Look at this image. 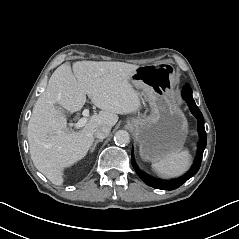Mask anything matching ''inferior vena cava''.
I'll use <instances>...</instances> for the list:
<instances>
[{
    "instance_id": "602c4592",
    "label": "inferior vena cava",
    "mask_w": 239,
    "mask_h": 239,
    "mask_svg": "<svg viewBox=\"0 0 239 239\" xmlns=\"http://www.w3.org/2000/svg\"><path fill=\"white\" fill-rule=\"evenodd\" d=\"M111 131V128L106 125H101L95 128L94 130V136L99 139H104L106 138Z\"/></svg>"
}]
</instances>
